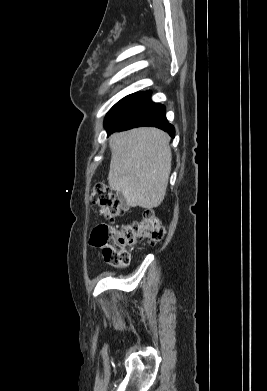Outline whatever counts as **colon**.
I'll return each instance as SVG.
<instances>
[{
	"mask_svg": "<svg viewBox=\"0 0 267 391\" xmlns=\"http://www.w3.org/2000/svg\"><path fill=\"white\" fill-rule=\"evenodd\" d=\"M91 203L108 219L124 214V206L104 184H96L90 193ZM165 229L152 210H144L140 219L116 228L110 224L96 226L90 235L91 245L102 248L104 260L118 267H127L131 256L129 248L139 241L155 243L160 241Z\"/></svg>",
	"mask_w": 267,
	"mask_h": 391,
	"instance_id": "obj_1",
	"label": "colon"
}]
</instances>
